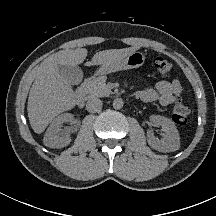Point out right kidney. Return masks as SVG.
<instances>
[{"label": "right kidney", "instance_id": "right-kidney-1", "mask_svg": "<svg viewBox=\"0 0 216 216\" xmlns=\"http://www.w3.org/2000/svg\"><path fill=\"white\" fill-rule=\"evenodd\" d=\"M73 119L74 116L70 113H64L54 118L44 135V145L50 148H62L67 146L71 142V138L68 134L60 137V127L64 122H72Z\"/></svg>", "mask_w": 216, "mask_h": 216}]
</instances>
